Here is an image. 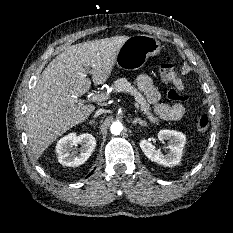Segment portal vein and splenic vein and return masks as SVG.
<instances>
[{"instance_id":"18ae733b","label":"portal vein and splenic vein","mask_w":233,"mask_h":233,"mask_svg":"<svg viewBox=\"0 0 233 233\" xmlns=\"http://www.w3.org/2000/svg\"><path fill=\"white\" fill-rule=\"evenodd\" d=\"M109 97H110V95L107 94V93L106 94H103V93L93 94L87 99V101H90V102H102L104 100L109 99ZM74 101L78 102L77 98H74ZM133 104H134L135 108H137V109L139 108V105L137 104V102H134Z\"/></svg>"}]
</instances>
